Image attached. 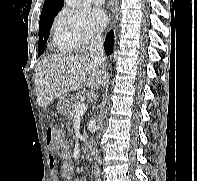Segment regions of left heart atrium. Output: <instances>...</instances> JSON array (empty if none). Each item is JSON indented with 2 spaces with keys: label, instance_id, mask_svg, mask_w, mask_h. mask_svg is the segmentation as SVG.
<instances>
[{
  "label": "left heart atrium",
  "instance_id": "39dd6f15",
  "mask_svg": "<svg viewBox=\"0 0 197 181\" xmlns=\"http://www.w3.org/2000/svg\"><path fill=\"white\" fill-rule=\"evenodd\" d=\"M89 17L92 25L96 29H102L108 24V15L102 9H93Z\"/></svg>",
  "mask_w": 197,
  "mask_h": 181
}]
</instances>
